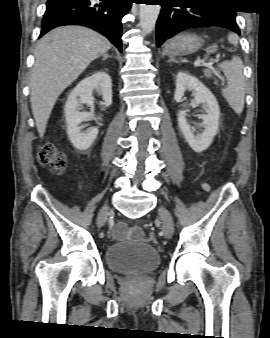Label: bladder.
<instances>
[{
	"label": "bladder",
	"instance_id": "bladder-1",
	"mask_svg": "<svg viewBox=\"0 0 270 338\" xmlns=\"http://www.w3.org/2000/svg\"><path fill=\"white\" fill-rule=\"evenodd\" d=\"M159 263L158 250L145 242H113L106 249V264L115 273H147L156 269Z\"/></svg>",
	"mask_w": 270,
	"mask_h": 338
}]
</instances>
